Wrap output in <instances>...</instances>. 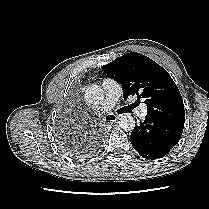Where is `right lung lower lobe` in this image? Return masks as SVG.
Listing matches in <instances>:
<instances>
[{
	"label": "right lung lower lobe",
	"mask_w": 209,
	"mask_h": 209,
	"mask_svg": "<svg viewBox=\"0 0 209 209\" xmlns=\"http://www.w3.org/2000/svg\"><path fill=\"white\" fill-rule=\"evenodd\" d=\"M86 150H91L90 148H88V147H84Z\"/></svg>",
	"instance_id": "right-lung-lower-lobe-1"
}]
</instances>
